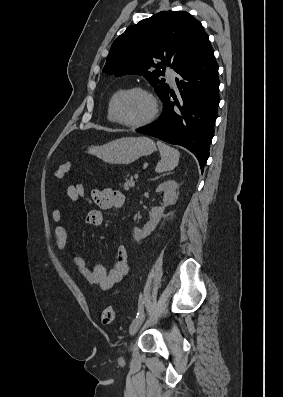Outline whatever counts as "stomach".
<instances>
[{
  "instance_id": "0dacf381",
  "label": "stomach",
  "mask_w": 283,
  "mask_h": 397,
  "mask_svg": "<svg viewBox=\"0 0 283 397\" xmlns=\"http://www.w3.org/2000/svg\"><path fill=\"white\" fill-rule=\"evenodd\" d=\"M156 145L148 137H123L101 146H91L88 150L103 161L110 164L127 165L142 156L152 154Z\"/></svg>"
}]
</instances>
